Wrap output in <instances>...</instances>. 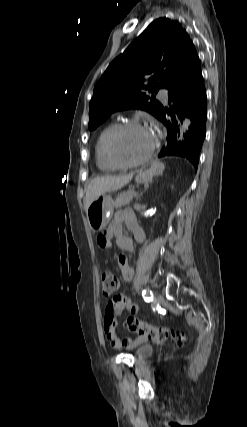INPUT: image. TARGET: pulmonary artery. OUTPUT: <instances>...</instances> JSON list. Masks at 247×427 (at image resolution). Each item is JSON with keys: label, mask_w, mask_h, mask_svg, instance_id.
<instances>
[{"label": "pulmonary artery", "mask_w": 247, "mask_h": 427, "mask_svg": "<svg viewBox=\"0 0 247 427\" xmlns=\"http://www.w3.org/2000/svg\"><path fill=\"white\" fill-rule=\"evenodd\" d=\"M158 96L164 101L167 102L168 101V92L165 89H161L158 92Z\"/></svg>", "instance_id": "1"}]
</instances>
